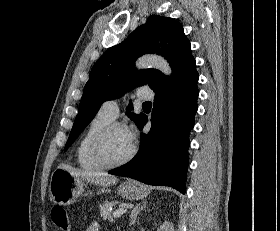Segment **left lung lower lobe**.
<instances>
[{
    "label": "left lung lower lobe",
    "instance_id": "0a47b994",
    "mask_svg": "<svg viewBox=\"0 0 280 231\" xmlns=\"http://www.w3.org/2000/svg\"><path fill=\"white\" fill-rule=\"evenodd\" d=\"M199 75L196 69L155 92L148 134H141L140 150L127 164L109 173L127 176L149 185H166L185 193L189 132L197 112ZM147 116L140 114L142 130Z\"/></svg>",
    "mask_w": 280,
    "mask_h": 231
}]
</instances>
